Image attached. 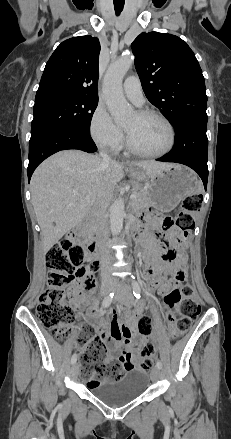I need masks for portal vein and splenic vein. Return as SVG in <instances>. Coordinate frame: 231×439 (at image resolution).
Returning a JSON list of instances; mask_svg holds the SVG:
<instances>
[{"label": "portal vein and splenic vein", "mask_w": 231, "mask_h": 439, "mask_svg": "<svg viewBox=\"0 0 231 439\" xmlns=\"http://www.w3.org/2000/svg\"><path fill=\"white\" fill-rule=\"evenodd\" d=\"M130 198H131V199L136 198V194H132Z\"/></svg>", "instance_id": "portal-vein-and-splenic-vein-1"}]
</instances>
